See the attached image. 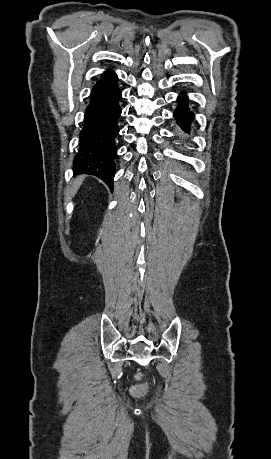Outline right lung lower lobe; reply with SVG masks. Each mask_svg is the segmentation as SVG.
<instances>
[{"instance_id":"98d812e1","label":"right lung lower lobe","mask_w":271,"mask_h":459,"mask_svg":"<svg viewBox=\"0 0 271 459\" xmlns=\"http://www.w3.org/2000/svg\"><path fill=\"white\" fill-rule=\"evenodd\" d=\"M117 80L116 74L108 71L93 87L74 159L75 175L97 176L110 189L113 188L114 157L117 154L115 138L119 133L118 118L121 115L119 100L122 93Z\"/></svg>"}]
</instances>
